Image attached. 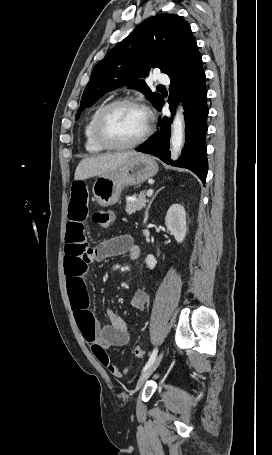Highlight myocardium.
Here are the masks:
<instances>
[{"label":"myocardium","instance_id":"f54148a6","mask_svg":"<svg viewBox=\"0 0 272 455\" xmlns=\"http://www.w3.org/2000/svg\"><path fill=\"white\" fill-rule=\"evenodd\" d=\"M123 105H130L137 107L141 109L146 116V125L143 133L134 141L128 142V143H115L109 140L103 133L102 130V123L107 115V113L112 110L115 107L118 106H123ZM152 130V118L150 112L147 110V108L138 100L132 98V97H123V98H117L115 100H112L111 102L105 104L102 106L97 114L94 117L93 123H92V135L95 140V142L100 145L101 147L108 149V150H126V149H132L135 148L139 145H141L143 142L146 141V139L149 137L150 133Z\"/></svg>","mask_w":272,"mask_h":455}]
</instances>
